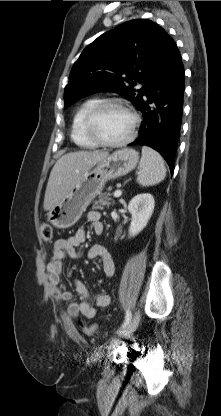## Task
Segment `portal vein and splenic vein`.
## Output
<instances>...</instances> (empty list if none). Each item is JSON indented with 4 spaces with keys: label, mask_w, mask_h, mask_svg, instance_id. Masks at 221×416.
Listing matches in <instances>:
<instances>
[{
    "label": "portal vein and splenic vein",
    "mask_w": 221,
    "mask_h": 416,
    "mask_svg": "<svg viewBox=\"0 0 221 416\" xmlns=\"http://www.w3.org/2000/svg\"><path fill=\"white\" fill-rule=\"evenodd\" d=\"M122 195V192H121V190H116L115 192H114V197H120Z\"/></svg>",
    "instance_id": "portal-vein-and-splenic-vein-1"
}]
</instances>
